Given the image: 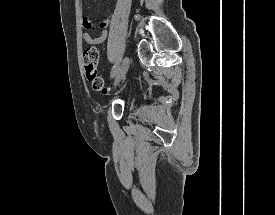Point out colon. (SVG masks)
<instances>
[{
  "instance_id": "colon-1",
  "label": "colon",
  "mask_w": 275,
  "mask_h": 215,
  "mask_svg": "<svg viewBox=\"0 0 275 215\" xmlns=\"http://www.w3.org/2000/svg\"><path fill=\"white\" fill-rule=\"evenodd\" d=\"M99 52L93 46H88L82 53V64L85 76L91 83L92 89L107 94L109 88L104 84L103 79L98 75Z\"/></svg>"
}]
</instances>
